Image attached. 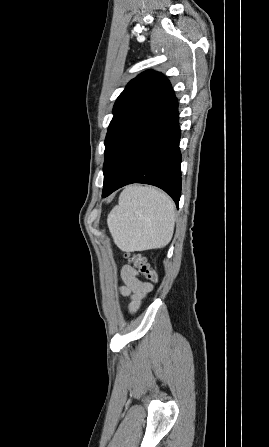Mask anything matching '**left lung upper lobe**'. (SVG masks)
<instances>
[{"mask_svg":"<svg viewBox=\"0 0 269 447\" xmlns=\"http://www.w3.org/2000/svg\"><path fill=\"white\" fill-rule=\"evenodd\" d=\"M173 97L170 82L159 72L146 71L128 83L116 100L105 138L104 185L113 181L137 144L168 112Z\"/></svg>","mask_w":269,"mask_h":447,"instance_id":"left-lung-upper-lobe-1","label":"left lung upper lobe"}]
</instances>
